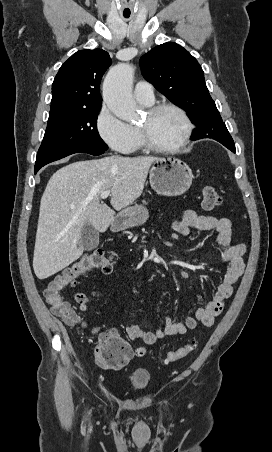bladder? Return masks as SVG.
<instances>
[{
    "mask_svg": "<svg viewBox=\"0 0 272 452\" xmlns=\"http://www.w3.org/2000/svg\"><path fill=\"white\" fill-rule=\"evenodd\" d=\"M151 381V374L148 370L136 368L131 371L129 376L130 385L134 389L143 390L148 387Z\"/></svg>",
    "mask_w": 272,
    "mask_h": 452,
    "instance_id": "1",
    "label": "bladder"
}]
</instances>
